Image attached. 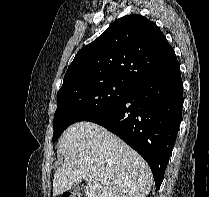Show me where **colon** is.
<instances>
[{
  "label": "colon",
  "mask_w": 209,
  "mask_h": 197,
  "mask_svg": "<svg viewBox=\"0 0 209 197\" xmlns=\"http://www.w3.org/2000/svg\"><path fill=\"white\" fill-rule=\"evenodd\" d=\"M63 197H79V196L75 194L67 193V194H64Z\"/></svg>",
  "instance_id": "5ec220e1"
}]
</instances>
